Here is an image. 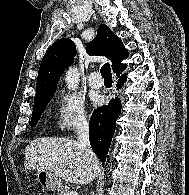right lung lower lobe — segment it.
<instances>
[{
	"label": "right lung lower lobe",
	"mask_w": 189,
	"mask_h": 195,
	"mask_svg": "<svg viewBox=\"0 0 189 195\" xmlns=\"http://www.w3.org/2000/svg\"><path fill=\"white\" fill-rule=\"evenodd\" d=\"M117 89L119 90L127 79V74L117 75ZM121 100L112 98L107 105L96 109L90 119L89 140L97 157L106 161L107 153L115 132L116 120L121 113Z\"/></svg>",
	"instance_id": "obj_1"
}]
</instances>
